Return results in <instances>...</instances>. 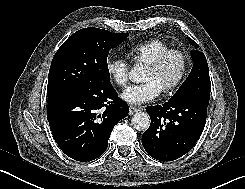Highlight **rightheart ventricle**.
<instances>
[{
  "mask_svg": "<svg viewBox=\"0 0 245 189\" xmlns=\"http://www.w3.org/2000/svg\"><path fill=\"white\" fill-rule=\"evenodd\" d=\"M170 49L168 43L159 38H150L132 44L126 54L135 64H147Z\"/></svg>",
  "mask_w": 245,
  "mask_h": 189,
  "instance_id": "obj_1",
  "label": "right heart ventricle"
}]
</instances>
